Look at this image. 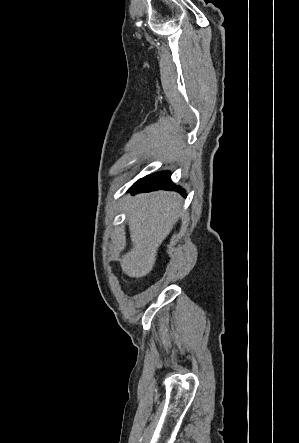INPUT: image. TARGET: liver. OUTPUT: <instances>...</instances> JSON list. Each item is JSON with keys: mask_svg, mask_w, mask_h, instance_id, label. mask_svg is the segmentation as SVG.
<instances>
[{"mask_svg": "<svg viewBox=\"0 0 299 443\" xmlns=\"http://www.w3.org/2000/svg\"><path fill=\"white\" fill-rule=\"evenodd\" d=\"M181 204L182 198L174 192L157 191L136 198L128 218L132 249L120 260L126 275L140 278L151 272L159 246L180 215Z\"/></svg>", "mask_w": 299, "mask_h": 443, "instance_id": "liver-1", "label": "liver"}]
</instances>
